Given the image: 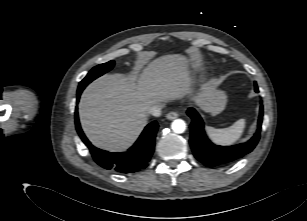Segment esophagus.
Listing matches in <instances>:
<instances>
[{
  "mask_svg": "<svg viewBox=\"0 0 307 221\" xmlns=\"http://www.w3.org/2000/svg\"><path fill=\"white\" fill-rule=\"evenodd\" d=\"M178 116H179V114L177 112L172 111V112H169L166 115V118L169 119V120H173V119H176Z\"/></svg>",
  "mask_w": 307,
  "mask_h": 221,
  "instance_id": "34e87169",
  "label": "esophagus"
}]
</instances>
